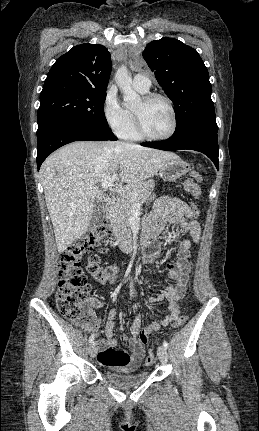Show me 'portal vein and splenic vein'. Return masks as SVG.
<instances>
[{"instance_id":"18ae733b","label":"portal vein and splenic vein","mask_w":259,"mask_h":431,"mask_svg":"<svg viewBox=\"0 0 259 431\" xmlns=\"http://www.w3.org/2000/svg\"><path fill=\"white\" fill-rule=\"evenodd\" d=\"M118 175L114 174L110 177H107L103 182H102V187L104 189H109L111 192H117L120 194L125 193V190L119 187L116 188H112V183L117 179ZM133 197L137 196L138 194L136 192H131L130 193Z\"/></svg>"}]
</instances>
